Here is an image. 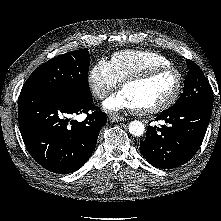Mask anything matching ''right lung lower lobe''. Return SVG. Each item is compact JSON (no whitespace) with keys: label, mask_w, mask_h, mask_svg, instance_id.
<instances>
[{"label":"right lung lower lobe","mask_w":221,"mask_h":221,"mask_svg":"<svg viewBox=\"0 0 221 221\" xmlns=\"http://www.w3.org/2000/svg\"><path fill=\"white\" fill-rule=\"evenodd\" d=\"M89 111H93L88 114ZM87 113L78 122L71 117ZM18 117L25 146L42 167L53 173L78 170L93 153L106 114L92 103L53 90L21 92Z\"/></svg>","instance_id":"1"}]
</instances>
